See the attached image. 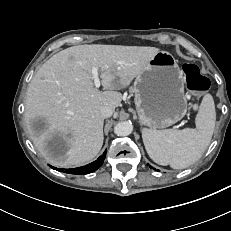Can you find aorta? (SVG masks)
<instances>
[{"instance_id": "obj_1", "label": "aorta", "mask_w": 231, "mask_h": 231, "mask_svg": "<svg viewBox=\"0 0 231 231\" xmlns=\"http://www.w3.org/2000/svg\"><path fill=\"white\" fill-rule=\"evenodd\" d=\"M133 130L132 123L128 121L119 122L114 127V133L117 136H128Z\"/></svg>"}]
</instances>
